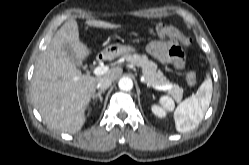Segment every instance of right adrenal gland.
I'll return each mask as SVG.
<instances>
[{
  "instance_id": "right-adrenal-gland-1",
  "label": "right adrenal gland",
  "mask_w": 249,
  "mask_h": 165,
  "mask_svg": "<svg viewBox=\"0 0 249 165\" xmlns=\"http://www.w3.org/2000/svg\"><path fill=\"white\" fill-rule=\"evenodd\" d=\"M103 93H105V90H101L97 94H94L93 97H92L93 102L95 103L97 101V99L99 98L100 103H102L103 102V98H102Z\"/></svg>"
}]
</instances>
